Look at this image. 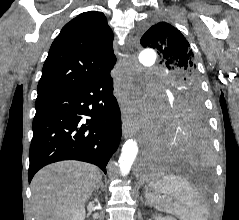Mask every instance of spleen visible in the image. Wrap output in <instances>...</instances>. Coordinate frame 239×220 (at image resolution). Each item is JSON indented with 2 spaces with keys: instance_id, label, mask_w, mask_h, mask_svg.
I'll return each instance as SVG.
<instances>
[{
  "instance_id": "spleen-1",
  "label": "spleen",
  "mask_w": 239,
  "mask_h": 220,
  "mask_svg": "<svg viewBox=\"0 0 239 220\" xmlns=\"http://www.w3.org/2000/svg\"><path fill=\"white\" fill-rule=\"evenodd\" d=\"M164 194H153L151 191ZM166 196H171L172 203ZM145 197L156 209L174 214L180 220H208L206 204L198 196L190 183L175 174L164 175L148 184Z\"/></svg>"
}]
</instances>
